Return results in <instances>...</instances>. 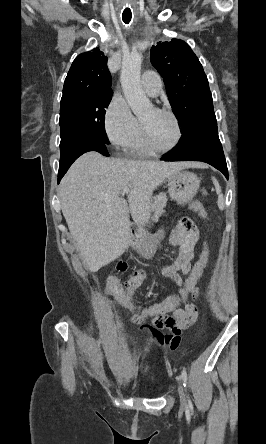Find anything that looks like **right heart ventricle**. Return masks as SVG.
<instances>
[{
  "label": "right heart ventricle",
  "instance_id": "obj_1",
  "mask_svg": "<svg viewBox=\"0 0 266 444\" xmlns=\"http://www.w3.org/2000/svg\"><path fill=\"white\" fill-rule=\"evenodd\" d=\"M127 151L131 156H149L152 154V151L144 144L139 122L134 138L127 147Z\"/></svg>",
  "mask_w": 266,
  "mask_h": 444
}]
</instances>
